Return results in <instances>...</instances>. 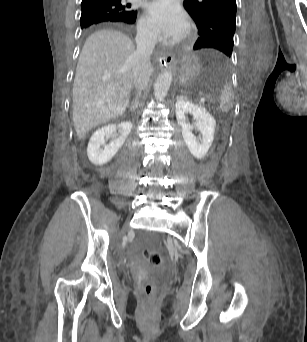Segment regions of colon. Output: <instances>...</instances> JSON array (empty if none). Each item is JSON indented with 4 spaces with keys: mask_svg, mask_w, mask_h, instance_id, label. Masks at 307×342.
I'll return each instance as SVG.
<instances>
[{
    "mask_svg": "<svg viewBox=\"0 0 307 342\" xmlns=\"http://www.w3.org/2000/svg\"><path fill=\"white\" fill-rule=\"evenodd\" d=\"M143 254L151 263V268H166V261H163L162 257L157 252L144 249ZM160 286V281H145L144 294L141 295L143 307H156L157 295L154 294V288H160Z\"/></svg>",
    "mask_w": 307,
    "mask_h": 342,
    "instance_id": "colon-1",
    "label": "colon"
}]
</instances>
